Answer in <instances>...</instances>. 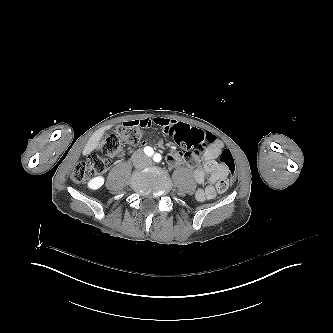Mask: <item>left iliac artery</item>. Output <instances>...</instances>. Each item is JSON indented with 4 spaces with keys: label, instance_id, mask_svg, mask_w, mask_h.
I'll return each instance as SVG.
<instances>
[{
    "label": "left iliac artery",
    "instance_id": "obj_1",
    "mask_svg": "<svg viewBox=\"0 0 333 333\" xmlns=\"http://www.w3.org/2000/svg\"><path fill=\"white\" fill-rule=\"evenodd\" d=\"M155 162H159L161 160V155L159 153L155 154L153 157Z\"/></svg>",
    "mask_w": 333,
    "mask_h": 333
}]
</instances>
